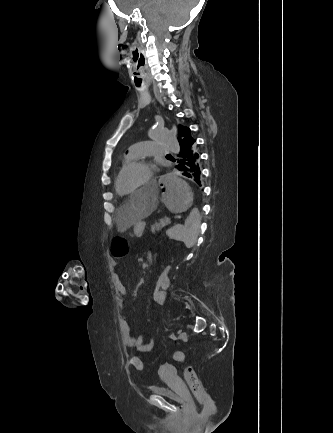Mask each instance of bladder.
I'll use <instances>...</instances> for the list:
<instances>
[{
  "mask_svg": "<svg viewBox=\"0 0 333 433\" xmlns=\"http://www.w3.org/2000/svg\"><path fill=\"white\" fill-rule=\"evenodd\" d=\"M152 392L158 396L167 398L174 402H182L185 400V396L175 392L174 390L170 389L167 386L164 385H154L152 386Z\"/></svg>",
  "mask_w": 333,
  "mask_h": 433,
  "instance_id": "1",
  "label": "bladder"
}]
</instances>
